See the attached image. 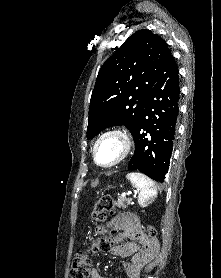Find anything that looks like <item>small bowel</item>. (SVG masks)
Here are the masks:
<instances>
[{
	"mask_svg": "<svg viewBox=\"0 0 221 278\" xmlns=\"http://www.w3.org/2000/svg\"><path fill=\"white\" fill-rule=\"evenodd\" d=\"M111 225L117 230L116 242H122L111 248V253L119 257H130L123 263L125 278H140L142 268L154 258L158 251L157 241L149 238L138 217L120 214ZM91 278H105L97 269H92Z\"/></svg>",
	"mask_w": 221,
	"mask_h": 278,
	"instance_id": "obj_1",
	"label": "small bowel"
}]
</instances>
